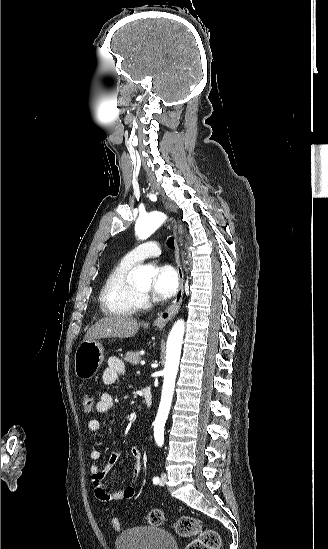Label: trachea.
I'll list each match as a JSON object with an SVG mask.
<instances>
[{
	"label": "trachea",
	"instance_id": "trachea-1",
	"mask_svg": "<svg viewBox=\"0 0 328 549\" xmlns=\"http://www.w3.org/2000/svg\"><path fill=\"white\" fill-rule=\"evenodd\" d=\"M167 245L170 249H174V237H169L167 240Z\"/></svg>",
	"mask_w": 328,
	"mask_h": 549
}]
</instances>
